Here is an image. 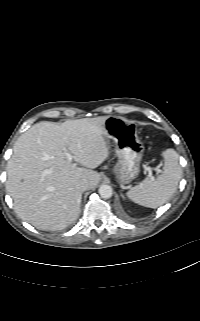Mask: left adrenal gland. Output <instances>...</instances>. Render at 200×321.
<instances>
[{
    "label": "left adrenal gland",
    "mask_w": 200,
    "mask_h": 321,
    "mask_svg": "<svg viewBox=\"0 0 200 321\" xmlns=\"http://www.w3.org/2000/svg\"><path fill=\"white\" fill-rule=\"evenodd\" d=\"M122 198H125L122 194H121Z\"/></svg>",
    "instance_id": "a2214340"
}]
</instances>
